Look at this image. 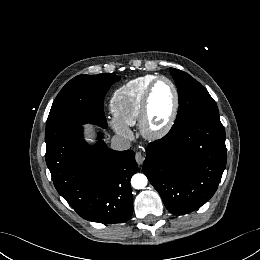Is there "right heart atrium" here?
<instances>
[{"mask_svg": "<svg viewBox=\"0 0 260 260\" xmlns=\"http://www.w3.org/2000/svg\"><path fill=\"white\" fill-rule=\"evenodd\" d=\"M110 125L112 128L119 134L124 137H130L131 131L128 128V126L124 125L120 121H118L116 118H111L110 119Z\"/></svg>", "mask_w": 260, "mask_h": 260, "instance_id": "obj_1", "label": "right heart atrium"}]
</instances>
